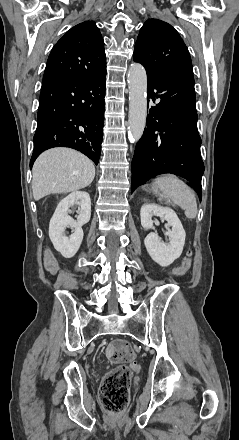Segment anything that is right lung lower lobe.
Masks as SVG:
<instances>
[{"label":"right lung lower lobe","instance_id":"1","mask_svg":"<svg viewBox=\"0 0 239 440\" xmlns=\"http://www.w3.org/2000/svg\"><path fill=\"white\" fill-rule=\"evenodd\" d=\"M105 82L106 70L88 78L42 84L31 167L43 151L53 147L74 148L98 164Z\"/></svg>","mask_w":239,"mask_h":440}]
</instances>
